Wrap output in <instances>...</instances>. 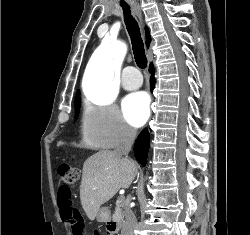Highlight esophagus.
<instances>
[{"label":"esophagus","mask_w":250,"mask_h":235,"mask_svg":"<svg viewBox=\"0 0 250 235\" xmlns=\"http://www.w3.org/2000/svg\"><path fill=\"white\" fill-rule=\"evenodd\" d=\"M133 9H134V12H135L136 16L138 17L141 25H142V12H141V9H140L139 5H135L133 7Z\"/></svg>","instance_id":"34e87169"}]
</instances>
